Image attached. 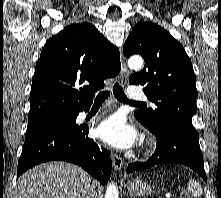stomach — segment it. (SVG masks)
<instances>
[{"label": "stomach", "mask_w": 221, "mask_h": 198, "mask_svg": "<svg viewBox=\"0 0 221 198\" xmlns=\"http://www.w3.org/2000/svg\"><path fill=\"white\" fill-rule=\"evenodd\" d=\"M127 190L133 196H145L152 193L151 186L139 178L129 181Z\"/></svg>", "instance_id": "1"}]
</instances>
